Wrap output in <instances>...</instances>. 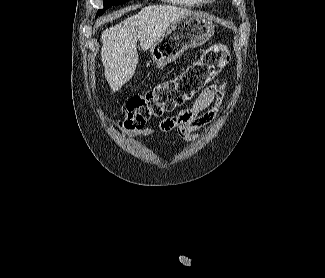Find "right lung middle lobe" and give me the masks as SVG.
<instances>
[{
	"instance_id": "obj_1",
	"label": "right lung middle lobe",
	"mask_w": 325,
	"mask_h": 278,
	"mask_svg": "<svg viewBox=\"0 0 325 278\" xmlns=\"http://www.w3.org/2000/svg\"><path fill=\"white\" fill-rule=\"evenodd\" d=\"M127 0H104V9L103 10H99L98 11V15H101L104 13V11L109 8L110 6H113V5H119V4H122V3H125ZM97 15V16H98Z\"/></svg>"
}]
</instances>
